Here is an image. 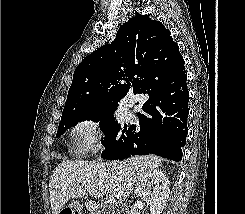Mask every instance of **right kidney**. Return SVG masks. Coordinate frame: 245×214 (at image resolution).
Listing matches in <instances>:
<instances>
[{
	"label": "right kidney",
	"mask_w": 245,
	"mask_h": 214,
	"mask_svg": "<svg viewBox=\"0 0 245 214\" xmlns=\"http://www.w3.org/2000/svg\"><path fill=\"white\" fill-rule=\"evenodd\" d=\"M134 193L146 202L151 214H161L169 197L170 183L161 170H150L138 180ZM136 207H131L130 214H135Z\"/></svg>",
	"instance_id": "ca27d5eb"
}]
</instances>
